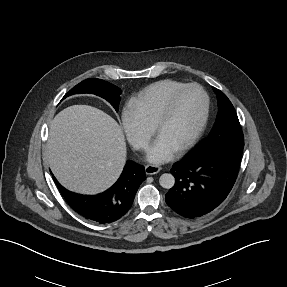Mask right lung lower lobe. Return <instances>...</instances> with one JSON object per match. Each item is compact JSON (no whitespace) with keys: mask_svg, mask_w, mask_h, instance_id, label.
Masks as SVG:
<instances>
[{"mask_svg":"<svg viewBox=\"0 0 287 287\" xmlns=\"http://www.w3.org/2000/svg\"><path fill=\"white\" fill-rule=\"evenodd\" d=\"M142 165L128 161L117 182L97 195H81L65 189L54 178L69 206L86 219L99 224L119 220L130 209L140 184L145 180Z\"/></svg>","mask_w":287,"mask_h":287,"instance_id":"1","label":"right lung lower lobe"}]
</instances>
